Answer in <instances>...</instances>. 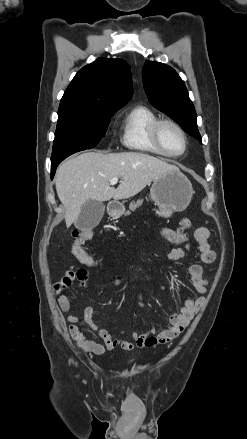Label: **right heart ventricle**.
Returning <instances> with one entry per match:
<instances>
[{
	"mask_svg": "<svg viewBox=\"0 0 247 439\" xmlns=\"http://www.w3.org/2000/svg\"><path fill=\"white\" fill-rule=\"evenodd\" d=\"M159 116L150 107L139 104L123 117L120 140L130 150L162 155L154 145L151 130Z\"/></svg>",
	"mask_w": 247,
	"mask_h": 439,
	"instance_id": "right-heart-ventricle-1",
	"label": "right heart ventricle"
}]
</instances>
